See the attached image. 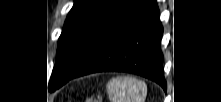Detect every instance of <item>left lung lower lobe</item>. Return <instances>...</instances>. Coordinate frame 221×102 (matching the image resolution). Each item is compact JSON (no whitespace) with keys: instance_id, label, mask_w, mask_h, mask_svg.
Returning <instances> with one entry per match:
<instances>
[{"instance_id":"obj_1","label":"left lung lower lobe","mask_w":221,"mask_h":102,"mask_svg":"<svg viewBox=\"0 0 221 102\" xmlns=\"http://www.w3.org/2000/svg\"><path fill=\"white\" fill-rule=\"evenodd\" d=\"M162 35L155 1L138 0L70 79L95 72L123 71L146 77L166 90Z\"/></svg>"}]
</instances>
